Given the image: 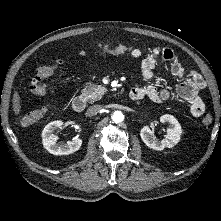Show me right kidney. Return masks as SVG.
I'll list each match as a JSON object with an SVG mask.
<instances>
[{"mask_svg":"<svg viewBox=\"0 0 221 221\" xmlns=\"http://www.w3.org/2000/svg\"><path fill=\"white\" fill-rule=\"evenodd\" d=\"M64 122L61 120L50 122L45 126L42 132V143L44 148L53 155H68L78 151L81 148L82 140L75 139L67 143H57L58 137L54 134L57 128H63Z\"/></svg>","mask_w":221,"mask_h":221,"instance_id":"1","label":"right kidney"}]
</instances>
